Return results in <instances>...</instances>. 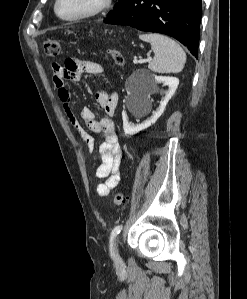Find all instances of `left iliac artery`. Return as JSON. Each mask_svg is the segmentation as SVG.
I'll use <instances>...</instances> for the list:
<instances>
[{
	"instance_id": "left-iliac-artery-1",
	"label": "left iliac artery",
	"mask_w": 247,
	"mask_h": 299,
	"mask_svg": "<svg viewBox=\"0 0 247 299\" xmlns=\"http://www.w3.org/2000/svg\"><path fill=\"white\" fill-rule=\"evenodd\" d=\"M121 230H122V225H118L111 232V236H110V251H111V253H112L114 238L121 232Z\"/></svg>"
}]
</instances>
